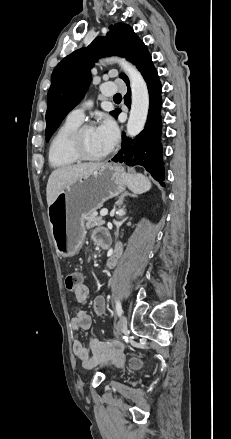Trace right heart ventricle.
I'll return each mask as SVG.
<instances>
[{"instance_id": "1", "label": "right heart ventricle", "mask_w": 231, "mask_h": 439, "mask_svg": "<svg viewBox=\"0 0 231 439\" xmlns=\"http://www.w3.org/2000/svg\"><path fill=\"white\" fill-rule=\"evenodd\" d=\"M81 122L66 118L53 135L48 148V162L54 169H65L75 165L79 160L69 151L68 139Z\"/></svg>"}]
</instances>
